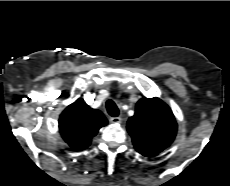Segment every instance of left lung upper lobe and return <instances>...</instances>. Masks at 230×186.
Instances as JSON below:
<instances>
[{
	"label": "left lung upper lobe",
	"instance_id": "obj_1",
	"mask_svg": "<svg viewBox=\"0 0 230 186\" xmlns=\"http://www.w3.org/2000/svg\"><path fill=\"white\" fill-rule=\"evenodd\" d=\"M127 130L135 149L153 157L167 148L175 138L177 123L171 109L159 98H143L130 117Z\"/></svg>",
	"mask_w": 230,
	"mask_h": 186
}]
</instances>
